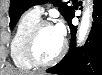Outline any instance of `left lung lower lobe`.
Wrapping results in <instances>:
<instances>
[{"mask_svg":"<svg viewBox=\"0 0 102 75\" xmlns=\"http://www.w3.org/2000/svg\"><path fill=\"white\" fill-rule=\"evenodd\" d=\"M74 11L69 17L71 47L66 56L48 73L59 75H102V0L94 1L93 24L84 47L75 48L76 27L72 24Z\"/></svg>","mask_w":102,"mask_h":75,"instance_id":"obj_1","label":"left lung lower lobe"}]
</instances>
